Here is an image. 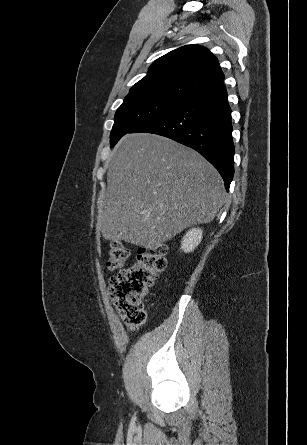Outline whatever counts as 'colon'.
<instances>
[{
	"instance_id": "obj_1",
	"label": "colon",
	"mask_w": 307,
	"mask_h": 445,
	"mask_svg": "<svg viewBox=\"0 0 307 445\" xmlns=\"http://www.w3.org/2000/svg\"><path fill=\"white\" fill-rule=\"evenodd\" d=\"M128 257L129 249L123 242H112L106 266L119 273L110 279L108 291L124 320L140 324L146 318L144 301L149 289L166 267V249L164 246L142 248L135 262L123 268Z\"/></svg>"
}]
</instances>
